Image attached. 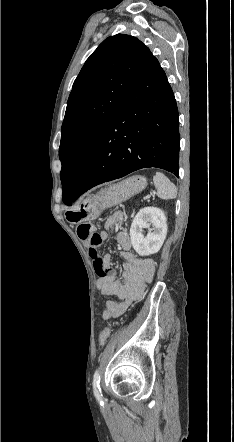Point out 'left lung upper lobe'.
<instances>
[{"instance_id":"1","label":"left lung upper lobe","mask_w":234,"mask_h":442,"mask_svg":"<svg viewBox=\"0 0 234 442\" xmlns=\"http://www.w3.org/2000/svg\"><path fill=\"white\" fill-rule=\"evenodd\" d=\"M152 57L137 38L117 34L105 39L85 62L73 84L61 129L64 203L77 191L100 134Z\"/></svg>"}]
</instances>
